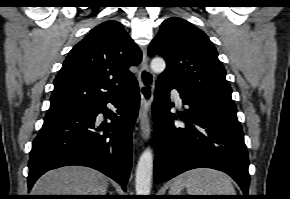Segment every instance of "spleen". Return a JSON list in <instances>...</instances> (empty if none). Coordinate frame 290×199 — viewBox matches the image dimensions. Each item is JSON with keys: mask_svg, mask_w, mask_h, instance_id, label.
<instances>
[{"mask_svg": "<svg viewBox=\"0 0 290 199\" xmlns=\"http://www.w3.org/2000/svg\"><path fill=\"white\" fill-rule=\"evenodd\" d=\"M183 188L188 195H236L230 178L210 168H197L181 174L174 180L170 193L181 195Z\"/></svg>", "mask_w": 290, "mask_h": 199, "instance_id": "spleen-1", "label": "spleen"}]
</instances>
